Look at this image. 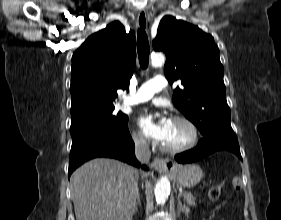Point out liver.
I'll use <instances>...</instances> for the list:
<instances>
[{
  "label": "liver",
  "instance_id": "6515ba94",
  "mask_svg": "<svg viewBox=\"0 0 281 220\" xmlns=\"http://www.w3.org/2000/svg\"><path fill=\"white\" fill-rule=\"evenodd\" d=\"M138 178L135 168L114 159L83 164L70 179L76 220H132Z\"/></svg>",
  "mask_w": 281,
  "mask_h": 220
}]
</instances>
